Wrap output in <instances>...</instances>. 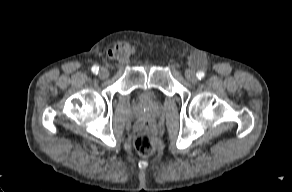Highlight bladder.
Here are the masks:
<instances>
[{"label":"bladder","instance_id":"bladder-1","mask_svg":"<svg viewBox=\"0 0 292 192\" xmlns=\"http://www.w3.org/2000/svg\"><path fill=\"white\" fill-rule=\"evenodd\" d=\"M142 98H144V99H149L150 98V95L148 94V93H144L143 95H142Z\"/></svg>","mask_w":292,"mask_h":192}]
</instances>
